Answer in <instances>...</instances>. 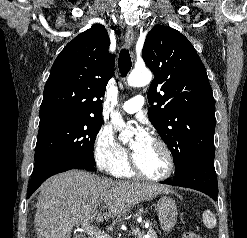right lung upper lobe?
<instances>
[{
  "label": "right lung upper lobe",
  "mask_w": 247,
  "mask_h": 238,
  "mask_svg": "<svg viewBox=\"0 0 247 238\" xmlns=\"http://www.w3.org/2000/svg\"><path fill=\"white\" fill-rule=\"evenodd\" d=\"M109 45L105 27L94 24L64 47L44 88L39 124L102 118L101 97L115 64V56L108 52Z\"/></svg>",
  "instance_id": "right-lung-upper-lobe-1"
}]
</instances>
